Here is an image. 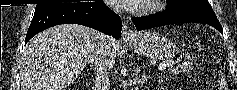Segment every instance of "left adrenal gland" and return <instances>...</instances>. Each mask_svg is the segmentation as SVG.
<instances>
[{"instance_id":"obj_1","label":"left adrenal gland","mask_w":237,"mask_h":90,"mask_svg":"<svg viewBox=\"0 0 237 90\" xmlns=\"http://www.w3.org/2000/svg\"><path fill=\"white\" fill-rule=\"evenodd\" d=\"M139 72H140V70H137L135 80H138V82H140V84H144V82L146 80V76H145V74H143V76H140ZM140 78H141V80H140Z\"/></svg>"}]
</instances>
